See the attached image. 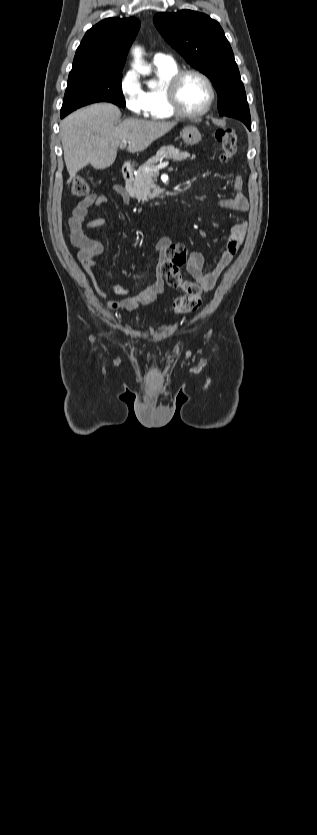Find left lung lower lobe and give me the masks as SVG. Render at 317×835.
I'll use <instances>...</instances> for the list:
<instances>
[{
	"label": "left lung lower lobe",
	"mask_w": 317,
	"mask_h": 835,
	"mask_svg": "<svg viewBox=\"0 0 317 835\" xmlns=\"http://www.w3.org/2000/svg\"><path fill=\"white\" fill-rule=\"evenodd\" d=\"M243 123L247 126V128L249 130H251V122L250 121H244Z\"/></svg>",
	"instance_id": "obj_1"
}]
</instances>
